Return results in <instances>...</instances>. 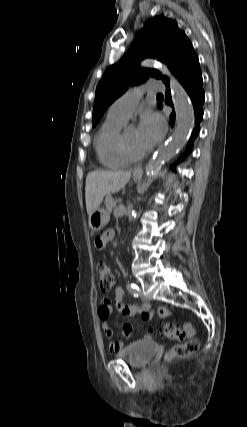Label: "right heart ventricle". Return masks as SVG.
Instances as JSON below:
<instances>
[{
  "label": "right heart ventricle",
  "mask_w": 247,
  "mask_h": 427,
  "mask_svg": "<svg viewBox=\"0 0 247 427\" xmlns=\"http://www.w3.org/2000/svg\"><path fill=\"white\" fill-rule=\"evenodd\" d=\"M124 124L125 120L108 115L95 135V152L99 163L106 168H120L129 163L119 147V137Z\"/></svg>",
  "instance_id": "right-heart-ventricle-1"
}]
</instances>
